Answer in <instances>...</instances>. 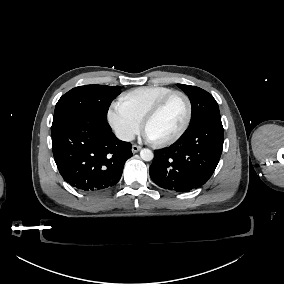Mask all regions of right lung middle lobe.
<instances>
[{"instance_id": "right-lung-middle-lobe-1", "label": "right lung middle lobe", "mask_w": 284, "mask_h": 284, "mask_svg": "<svg viewBox=\"0 0 284 284\" xmlns=\"http://www.w3.org/2000/svg\"><path fill=\"white\" fill-rule=\"evenodd\" d=\"M120 92V86L85 85L73 88L57 102L52 126L78 113L93 114L106 120L109 106Z\"/></svg>"}]
</instances>
